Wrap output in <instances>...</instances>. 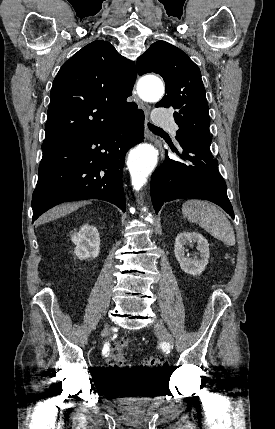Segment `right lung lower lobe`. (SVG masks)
Segmentation results:
<instances>
[{
    "mask_svg": "<svg viewBox=\"0 0 275 429\" xmlns=\"http://www.w3.org/2000/svg\"><path fill=\"white\" fill-rule=\"evenodd\" d=\"M144 113L44 150L32 196L33 221L63 202L101 199L126 210L122 174L127 151L144 137Z\"/></svg>",
    "mask_w": 275,
    "mask_h": 429,
    "instance_id": "1",
    "label": "right lung lower lobe"
}]
</instances>
